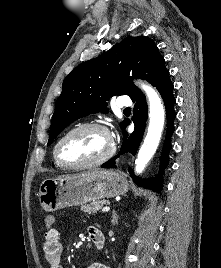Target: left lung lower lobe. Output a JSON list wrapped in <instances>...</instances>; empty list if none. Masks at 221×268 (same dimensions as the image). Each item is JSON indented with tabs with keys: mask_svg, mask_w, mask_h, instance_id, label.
Instances as JSON below:
<instances>
[{
	"mask_svg": "<svg viewBox=\"0 0 221 268\" xmlns=\"http://www.w3.org/2000/svg\"><path fill=\"white\" fill-rule=\"evenodd\" d=\"M161 97L164 100L165 106H166V116H167V132H166V138L165 143L163 146V151L161 155V163H160V173L156 178L149 179V180H143L140 178H137L134 175V172L131 168H129V173L131 177L134 179V181L141 186H144L145 188H150L155 191H160L162 187V173L165 167L168 164L169 160V150L171 148V136L174 132V119L176 117L174 112V104H175V98L173 96V84L170 80V78H166L163 80L159 86L157 87ZM135 104V108L133 110V122L135 125L134 132L128 136L127 132L125 131V127L123 129V143L120 149V152L110 159L109 161L105 162L102 165V168H113L115 166V160L124 153L130 152L133 155L136 154V151L140 145V142L142 140L145 126H146V120H147V113H148V106L146 103V97L144 95H141L135 99L132 100ZM129 124V121L127 122ZM126 124V125H127Z\"/></svg>",
	"mask_w": 221,
	"mask_h": 268,
	"instance_id": "0a47b994",
	"label": "left lung lower lobe"
}]
</instances>
